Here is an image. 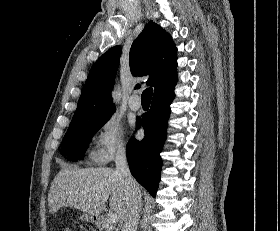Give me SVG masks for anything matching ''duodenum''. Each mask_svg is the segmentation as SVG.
<instances>
[{
    "label": "duodenum",
    "mask_w": 280,
    "mask_h": 231,
    "mask_svg": "<svg viewBox=\"0 0 280 231\" xmlns=\"http://www.w3.org/2000/svg\"><path fill=\"white\" fill-rule=\"evenodd\" d=\"M98 222L101 224V225H106V223H107V221H106V219L104 218V217H100L99 219H98Z\"/></svg>",
    "instance_id": "410a0bca"
}]
</instances>
